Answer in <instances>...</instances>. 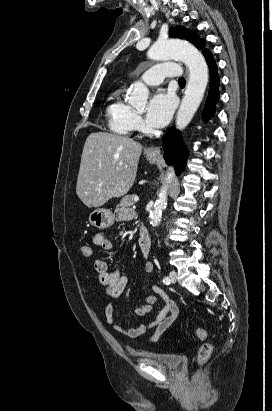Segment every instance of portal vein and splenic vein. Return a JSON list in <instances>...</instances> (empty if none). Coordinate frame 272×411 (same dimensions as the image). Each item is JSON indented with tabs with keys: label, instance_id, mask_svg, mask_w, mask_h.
Segmentation results:
<instances>
[{
	"label": "portal vein and splenic vein",
	"instance_id": "obj_1",
	"mask_svg": "<svg viewBox=\"0 0 272 411\" xmlns=\"http://www.w3.org/2000/svg\"><path fill=\"white\" fill-rule=\"evenodd\" d=\"M134 201H135V202H138V201H139V197H138V196H135V197H134Z\"/></svg>",
	"mask_w": 272,
	"mask_h": 411
}]
</instances>
